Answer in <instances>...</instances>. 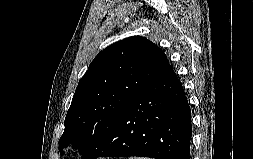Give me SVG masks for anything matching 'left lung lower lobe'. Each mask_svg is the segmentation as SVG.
Wrapping results in <instances>:
<instances>
[{"label": "left lung lower lobe", "instance_id": "1", "mask_svg": "<svg viewBox=\"0 0 253 159\" xmlns=\"http://www.w3.org/2000/svg\"><path fill=\"white\" fill-rule=\"evenodd\" d=\"M191 111L169 65L128 103L95 158L143 156L190 159Z\"/></svg>", "mask_w": 253, "mask_h": 159}]
</instances>
